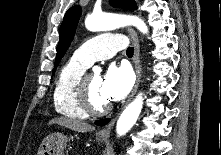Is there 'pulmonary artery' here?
<instances>
[{
  "label": "pulmonary artery",
  "mask_w": 221,
  "mask_h": 155,
  "mask_svg": "<svg viewBox=\"0 0 221 155\" xmlns=\"http://www.w3.org/2000/svg\"><path fill=\"white\" fill-rule=\"evenodd\" d=\"M126 46L125 37L120 34L104 33L97 35L83 45L73 54V58L90 66L97 60H105Z\"/></svg>",
  "instance_id": "obj_1"
}]
</instances>
